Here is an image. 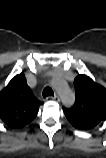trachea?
<instances>
[{"label":"trachea","mask_w":106,"mask_h":158,"mask_svg":"<svg viewBox=\"0 0 106 158\" xmlns=\"http://www.w3.org/2000/svg\"><path fill=\"white\" fill-rule=\"evenodd\" d=\"M42 95L44 98L47 96H54V92L50 87H46V88H44Z\"/></svg>","instance_id":"trachea-1"}]
</instances>
